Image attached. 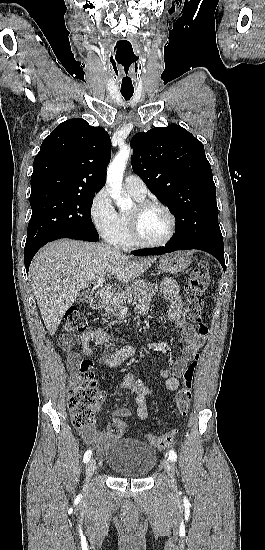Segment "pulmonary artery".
Segmentation results:
<instances>
[{
  "mask_svg": "<svg viewBox=\"0 0 265 550\" xmlns=\"http://www.w3.org/2000/svg\"><path fill=\"white\" fill-rule=\"evenodd\" d=\"M125 187L129 193L138 197L146 196L147 187L144 181L134 174H130L125 178Z\"/></svg>",
  "mask_w": 265,
  "mask_h": 550,
  "instance_id": "obj_1",
  "label": "pulmonary artery"
}]
</instances>
